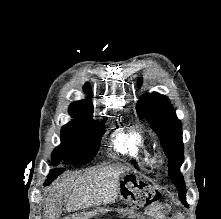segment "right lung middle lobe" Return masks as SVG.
Here are the masks:
<instances>
[{
  "label": "right lung middle lobe",
  "instance_id": "right-lung-middle-lobe-1",
  "mask_svg": "<svg viewBox=\"0 0 221 219\" xmlns=\"http://www.w3.org/2000/svg\"><path fill=\"white\" fill-rule=\"evenodd\" d=\"M104 121H71L61 129V145L52 153L51 165L61 161L81 165L90 162L97 154Z\"/></svg>",
  "mask_w": 221,
  "mask_h": 219
}]
</instances>
